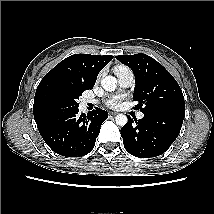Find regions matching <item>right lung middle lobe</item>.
<instances>
[{
	"label": "right lung middle lobe",
	"instance_id": "obj_1",
	"mask_svg": "<svg viewBox=\"0 0 214 214\" xmlns=\"http://www.w3.org/2000/svg\"><path fill=\"white\" fill-rule=\"evenodd\" d=\"M86 89L72 84L54 82L45 87L41 100L45 108L51 111L77 108V99Z\"/></svg>",
	"mask_w": 214,
	"mask_h": 214
}]
</instances>
